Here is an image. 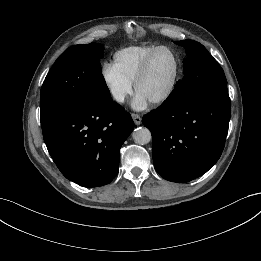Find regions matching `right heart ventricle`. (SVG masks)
<instances>
[{
    "instance_id": "1",
    "label": "right heart ventricle",
    "mask_w": 261,
    "mask_h": 261,
    "mask_svg": "<svg viewBox=\"0 0 261 261\" xmlns=\"http://www.w3.org/2000/svg\"><path fill=\"white\" fill-rule=\"evenodd\" d=\"M157 47L159 46L139 45L120 49L115 52L112 65L133 83L145 59Z\"/></svg>"
}]
</instances>
